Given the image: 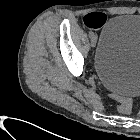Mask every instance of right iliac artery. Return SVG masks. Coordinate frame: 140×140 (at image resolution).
<instances>
[{"mask_svg":"<svg viewBox=\"0 0 140 140\" xmlns=\"http://www.w3.org/2000/svg\"><path fill=\"white\" fill-rule=\"evenodd\" d=\"M89 36L90 37H93L94 36V33L91 31V32H89Z\"/></svg>","mask_w":140,"mask_h":140,"instance_id":"obj_1","label":"right iliac artery"}]
</instances>
